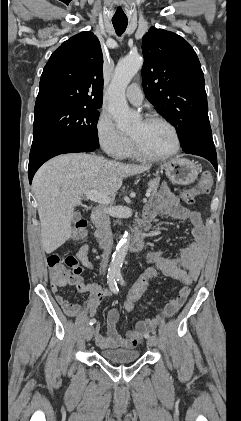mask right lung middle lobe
<instances>
[{
  "instance_id": "dd1d6c3e",
  "label": "right lung middle lobe",
  "mask_w": 241,
  "mask_h": 421,
  "mask_svg": "<svg viewBox=\"0 0 241 421\" xmlns=\"http://www.w3.org/2000/svg\"><path fill=\"white\" fill-rule=\"evenodd\" d=\"M100 107L51 105L34 109L32 147L63 140L99 147L96 126Z\"/></svg>"
}]
</instances>
